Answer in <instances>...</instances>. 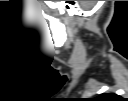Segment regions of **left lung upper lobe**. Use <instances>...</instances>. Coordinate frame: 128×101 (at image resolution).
Masks as SVG:
<instances>
[{
	"label": "left lung upper lobe",
	"instance_id": "1",
	"mask_svg": "<svg viewBox=\"0 0 128 101\" xmlns=\"http://www.w3.org/2000/svg\"><path fill=\"white\" fill-rule=\"evenodd\" d=\"M117 95L113 94V93H109V94H102L99 99H106V101H115V99H117Z\"/></svg>",
	"mask_w": 128,
	"mask_h": 101
}]
</instances>
